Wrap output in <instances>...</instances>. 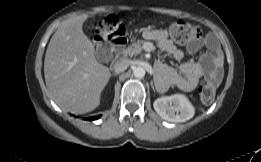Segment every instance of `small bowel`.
I'll return each instance as SVG.
<instances>
[{"label": "small bowel", "mask_w": 261, "mask_h": 162, "mask_svg": "<svg viewBox=\"0 0 261 162\" xmlns=\"http://www.w3.org/2000/svg\"><path fill=\"white\" fill-rule=\"evenodd\" d=\"M146 37L154 40L162 50L172 55L175 59L180 60L183 58V51L173 44L166 30L150 29L146 32ZM202 47H206L208 51L203 53L196 62L183 63L180 66L182 75L158 59L156 66L159 73L168 75L170 83L177 85L187 92L193 91L196 88L202 76L213 80L216 84L219 83L223 76L222 66L224 61L219 43L214 35H207L203 39L191 41L188 45V50L191 53H195Z\"/></svg>", "instance_id": "1"}]
</instances>
